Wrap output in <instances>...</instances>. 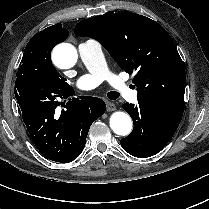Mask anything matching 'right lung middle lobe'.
Wrapping results in <instances>:
<instances>
[{
    "instance_id": "1",
    "label": "right lung middle lobe",
    "mask_w": 209,
    "mask_h": 209,
    "mask_svg": "<svg viewBox=\"0 0 209 209\" xmlns=\"http://www.w3.org/2000/svg\"><path fill=\"white\" fill-rule=\"evenodd\" d=\"M54 47L50 33L41 32L33 36L24 50L16 81L27 79L60 90L66 89L69 86L67 80L52 65L51 51Z\"/></svg>"
}]
</instances>
